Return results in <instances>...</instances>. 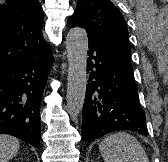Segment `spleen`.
I'll list each match as a JSON object with an SVG mask.
<instances>
[{"label":"spleen","instance_id":"1","mask_svg":"<svg viewBox=\"0 0 168 162\" xmlns=\"http://www.w3.org/2000/svg\"><path fill=\"white\" fill-rule=\"evenodd\" d=\"M99 150L105 162H149L138 140L126 132L108 135Z\"/></svg>","mask_w":168,"mask_h":162}]
</instances>
